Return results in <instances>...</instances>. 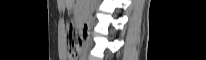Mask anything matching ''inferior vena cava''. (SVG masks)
Returning <instances> with one entry per match:
<instances>
[{"label": "inferior vena cava", "instance_id": "1", "mask_svg": "<svg viewBox=\"0 0 206 60\" xmlns=\"http://www.w3.org/2000/svg\"><path fill=\"white\" fill-rule=\"evenodd\" d=\"M87 20H88V22H91V20H92V14H91V12H88Z\"/></svg>", "mask_w": 206, "mask_h": 60}]
</instances>
